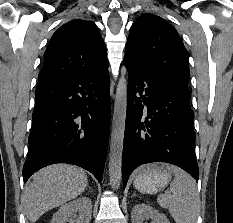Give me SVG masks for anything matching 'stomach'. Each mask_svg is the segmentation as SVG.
<instances>
[{"instance_id": "1", "label": "stomach", "mask_w": 233, "mask_h": 223, "mask_svg": "<svg viewBox=\"0 0 233 223\" xmlns=\"http://www.w3.org/2000/svg\"><path fill=\"white\" fill-rule=\"evenodd\" d=\"M172 173V167L168 163H148L136 175L133 185L141 193H158L168 185Z\"/></svg>"}]
</instances>
